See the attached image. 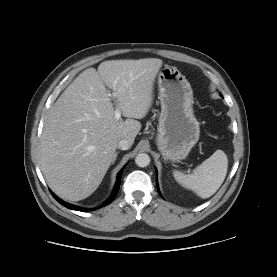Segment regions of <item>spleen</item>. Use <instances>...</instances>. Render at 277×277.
Listing matches in <instances>:
<instances>
[{"label":"spleen","instance_id":"spleen-1","mask_svg":"<svg viewBox=\"0 0 277 277\" xmlns=\"http://www.w3.org/2000/svg\"><path fill=\"white\" fill-rule=\"evenodd\" d=\"M228 158L222 150H216L208 159L197 166L192 174L174 171L175 180L184 188L205 199L211 197L225 180Z\"/></svg>","mask_w":277,"mask_h":277}]
</instances>
